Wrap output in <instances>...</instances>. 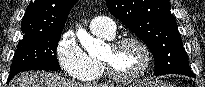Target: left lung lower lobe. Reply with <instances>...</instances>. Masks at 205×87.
I'll use <instances>...</instances> for the list:
<instances>
[{"label":"left lung lower lobe","mask_w":205,"mask_h":87,"mask_svg":"<svg viewBox=\"0 0 205 87\" xmlns=\"http://www.w3.org/2000/svg\"><path fill=\"white\" fill-rule=\"evenodd\" d=\"M183 75H186V76L194 77V78H195V75H194V73H193L192 71L187 72V73H185V74H183Z\"/></svg>","instance_id":"obj_1"}]
</instances>
